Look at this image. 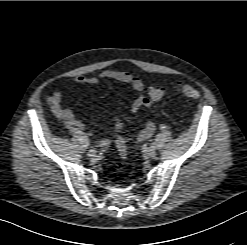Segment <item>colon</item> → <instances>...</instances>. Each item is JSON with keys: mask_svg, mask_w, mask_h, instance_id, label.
Masks as SVG:
<instances>
[{"mask_svg": "<svg viewBox=\"0 0 247 245\" xmlns=\"http://www.w3.org/2000/svg\"><path fill=\"white\" fill-rule=\"evenodd\" d=\"M180 92L183 94L184 97H186L189 100H193L199 97V91L194 89L193 87L189 85H181L180 86ZM150 100L153 102L159 101L164 96V89L162 88H150L148 91ZM116 147L119 153V156L121 160H125L127 157V144L124 139L119 138L116 141Z\"/></svg>", "mask_w": 247, "mask_h": 245, "instance_id": "colon-1", "label": "colon"}]
</instances>
